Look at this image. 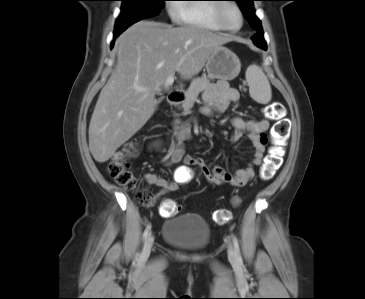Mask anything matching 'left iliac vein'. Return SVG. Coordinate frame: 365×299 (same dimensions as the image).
<instances>
[{
	"label": "left iliac vein",
	"mask_w": 365,
	"mask_h": 299,
	"mask_svg": "<svg viewBox=\"0 0 365 299\" xmlns=\"http://www.w3.org/2000/svg\"><path fill=\"white\" fill-rule=\"evenodd\" d=\"M228 258L231 263H237V254L232 244H229L228 246Z\"/></svg>",
	"instance_id": "left-iliac-vein-1"
}]
</instances>
